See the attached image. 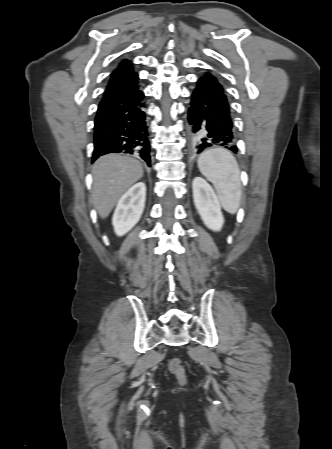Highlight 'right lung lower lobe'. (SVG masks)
I'll list each match as a JSON object with an SVG mask.
<instances>
[{"label": "right lung lower lobe", "instance_id": "98d812e1", "mask_svg": "<svg viewBox=\"0 0 332 449\" xmlns=\"http://www.w3.org/2000/svg\"><path fill=\"white\" fill-rule=\"evenodd\" d=\"M144 94L141 90L101 100L95 118L92 161L108 153L141 157L150 165Z\"/></svg>", "mask_w": 332, "mask_h": 449}]
</instances>
